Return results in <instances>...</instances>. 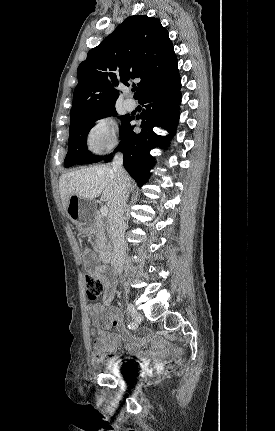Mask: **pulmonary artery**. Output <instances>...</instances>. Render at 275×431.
Wrapping results in <instances>:
<instances>
[{"instance_id":"pulmonary-artery-1","label":"pulmonary artery","mask_w":275,"mask_h":431,"mask_svg":"<svg viewBox=\"0 0 275 431\" xmlns=\"http://www.w3.org/2000/svg\"><path fill=\"white\" fill-rule=\"evenodd\" d=\"M124 105H125L127 110L132 111L136 108L137 104H136L135 100L129 98V99L125 100Z\"/></svg>"}]
</instances>
